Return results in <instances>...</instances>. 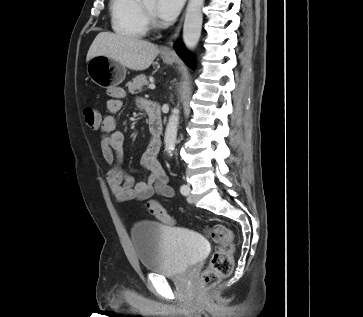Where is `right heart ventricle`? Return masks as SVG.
<instances>
[{
  "label": "right heart ventricle",
  "instance_id": "e07e8e85",
  "mask_svg": "<svg viewBox=\"0 0 363 317\" xmlns=\"http://www.w3.org/2000/svg\"><path fill=\"white\" fill-rule=\"evenodd\" d=\"M111 25L114 32L123 37L142 38L148 32V24L140 9V0H111Z\"/></svg>",
  "mask_w": 363,
  "mask_h": 317
}]
</instances>
